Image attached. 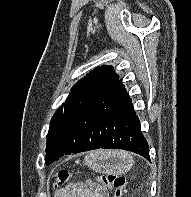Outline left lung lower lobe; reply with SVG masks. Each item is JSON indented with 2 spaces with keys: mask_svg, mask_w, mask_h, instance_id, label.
Returning <instances> with one entry per match:
<instances>
[{
  "mask_svg": "<svg viewBox=\"0 0 191 197\" xmlns=\"http://www.w3.org/2000/svg\"><path fill=\"white\" fill-rule=\"evenodd\" d=\"M64 131L72 153L118 148L150 160L148 143L122 83L84 101Z\"/></svg>",
  "mask_w": 191,
  "mask_h": 197,
  "instance_id": "0a47b994",
  "label": "left lung lower lobe"
}]
</instances>
